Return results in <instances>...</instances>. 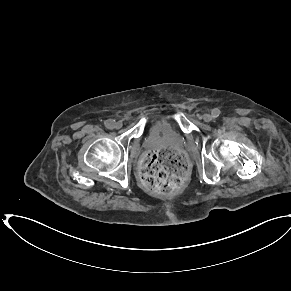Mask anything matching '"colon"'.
I'll use <instances>...</instances> for the list:
<instances>
[{
  "label": "colon",
  "mask_w": 291,
  "mask_h": 291,
  "mask_svg": "<svg viewBox=\"0 0 291 291\" xmlns=\"http://www.w3.org/2000/svg\"><path fill=\"white\" fill-rule=\"evenodd\" d=\"M185 157L172 148L152 150L141 163V181L150 191L170 194L176 191L186 171Z\"/></svg>",
  "instance_id": "obj_1"
}]
</instances>
